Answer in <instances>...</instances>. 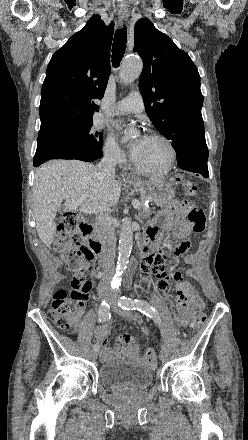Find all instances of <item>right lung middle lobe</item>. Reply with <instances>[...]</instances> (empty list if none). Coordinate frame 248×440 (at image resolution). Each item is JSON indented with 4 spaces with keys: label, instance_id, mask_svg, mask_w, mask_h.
<instances>
[{
    "label": "right lung middle lobe",
    "instance_id": "1",
    "mask_svg": "<svg viewBox=\"0 0 248 440\" xmlns=\"http://www.w3.org/2000/svg\"><path fill=\"white\" fill-rule=\"evenodd\" d=\"M89 121L38 135V145L33 161L39 156L60 159L67 156H102L103 135L92 129Z\"/></svg>",
    "mask_w": 248,
    "mask_h": 440
}]
</instances>
